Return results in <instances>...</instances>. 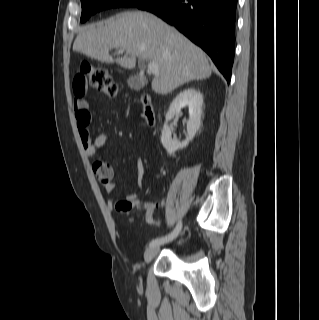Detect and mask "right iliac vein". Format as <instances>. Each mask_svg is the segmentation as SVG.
Masks as SVG:
<instances>
[{"instance_id": "1", "label": "right iliac vein", "mask_w": 319, "mask_h": 320, "mask_svg": "<svg viewBox=\"0 0 319 320\" xmlns=\"http://www.w3.org/2000/svg\"><path fill=\"white\" fill-rule=\"evenodd\" d=\"M159 252V247H150L144 253V260L146 263L151 262V260L157 255Z\"/></svg>"}]
</instances>
